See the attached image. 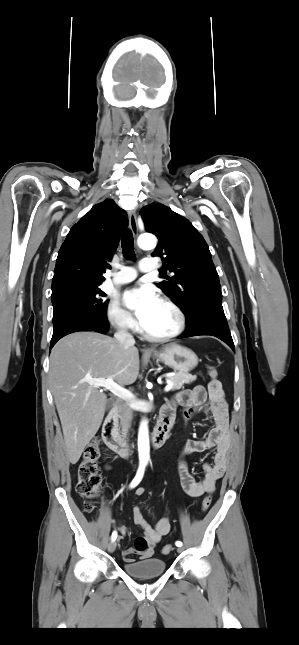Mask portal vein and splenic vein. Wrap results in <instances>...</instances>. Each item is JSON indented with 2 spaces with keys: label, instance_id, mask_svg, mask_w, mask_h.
Segmentation results:
<instances>
[{
  "label": "portal vein and splenic vein",
  "instance_id": "1",
  "mask_svg": "<svg viewBox=\"0 0 299 645\" xmlns=\"http://www.w3.org/2000/svg\"><path fill=\"white\" fill-rule=\"evenodd\" d=\"M87 382L96 388L103 387L109 390L115 396L123 400H130L134 398V395L130 391L116 384L113 381L112 377H108L106 379L104 378L88 379ZM172 386H173L172 382H169L164 388L165 392L170 391L172 389Z\"/></svg>",
  "mask_w": 299,
  "mask_h": 645
}]
</instances>
